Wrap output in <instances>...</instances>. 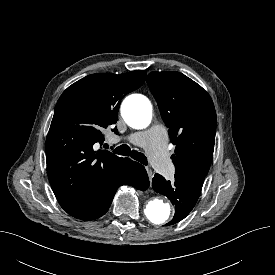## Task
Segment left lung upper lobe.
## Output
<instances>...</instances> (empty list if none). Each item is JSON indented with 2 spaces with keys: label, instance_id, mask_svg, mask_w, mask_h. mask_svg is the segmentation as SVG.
<instances>
[{
  "label": "left lung upper lobe",
  "instance_id": "1",
  "mask_svg": "<svg viewBox=\"0 0 275 275\" xmlns=\"http://www.w3.org/2000/svg\"><path fill=\"white\" fill-rule=\"evenodd\" d=\"M154 95L169 137L175 175L203 183L213 157L216 111L210 95L196 82L175 71L151 72Z\"/></svg>",
  "mask_w": 275,
  "mask_h": 275
}]
</instances>
